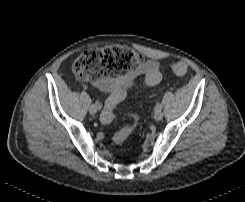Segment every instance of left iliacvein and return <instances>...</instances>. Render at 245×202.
Returning <instances> with one entry per match:
<instances>
[{
	"mask_svg": "<svg viewBox=\"0 0 245 202\" xmlns=\"http://www.w3.org/2000/svg\"><path fill=\"white\" fill-rule=\"evenodd\" d=\"M163 118V112L161 110H155L154 119L160 121Z\"/></svg>",
	"mask_w": 245,
	"mask_h": 202,
	"instance_id": "obj_1",
	"label": "left iliac vein"
}]
</instances>
